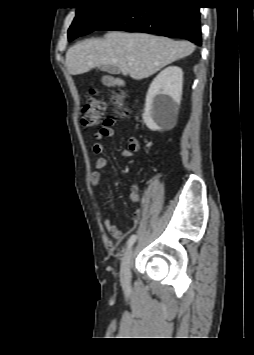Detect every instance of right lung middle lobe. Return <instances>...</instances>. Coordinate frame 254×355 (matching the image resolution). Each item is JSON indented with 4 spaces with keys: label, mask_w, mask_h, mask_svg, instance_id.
<instances>
[{
    "label": "right lung middle lobe",
    "mask_w": 254,
    "mask_h": 355,
    "mask_svg": "<svg viewBox=\"0 0 254 355\" xmlns=\"http://www.w3.org/2000/svg\"><path fill=\"white\" fill-rule=\"evenodd\" d=\"M123 4L116 0H94L77 8L68 30L69 41L97 30Z\"/></svg>",
    "instance_id": "right-lung-middle-lobe-1"
}]
</instances>
